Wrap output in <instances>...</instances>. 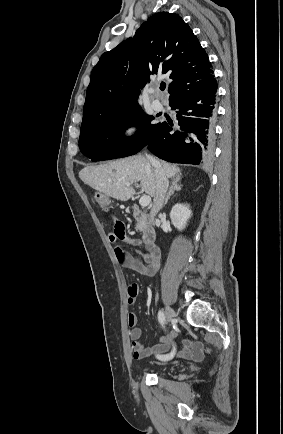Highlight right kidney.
<instances>
[{"mask_svg": "<svg viewBox=\"0 0 283 434\" xmlns=\"http://www.w3.org/2000/svg\"><path fill=\"white\" fill-rule=\"evenodd\" d=\"M190 217L191 210L187 205L175 204L171 209V222L178 230H183L186 227L187 221Z\"/></svg>", "mask_w": 283, "mask_h": 434, "instance_id": "obj_1", "label": "right kidney"}]
</instances>
